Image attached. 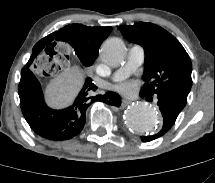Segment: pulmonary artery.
Listing matches in <instances>:
<instances>
[{
    "instance_id": "pulmonary-artery-1",
    "label": "pulmonary artery",
    "mask_w": 215,
    "mask_h": 183,
    "mask_svg": "<svg viewBox=\"0 0 215 183\" xmlns=\"http://www.w3.org/2000/svg\"><path fill=\"white\" fill-rule=\"evenodd\" d=\"M145 52L142 46L133 45L128 54L127 62L113 76L115 80H121L128 77L134 72L144 61Z\"/></svg>"
}]
</instances>
